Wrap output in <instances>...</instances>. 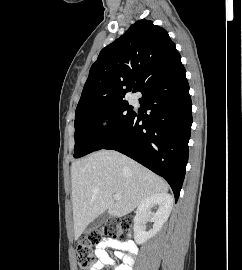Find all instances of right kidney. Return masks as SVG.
<instances>
[{"label": "right kidney", "instance_id": "obj_1", "mask_svg": "<svg viewBox=\"0 0 242 270\" xmlns=\"http://www.w3.org/2000/svg\"><path fill=\"white\" fill-rule=\"evenodd\" d=\"M157 205L156 213H151V207ZM173 207V198L168 193H156L145 198L136 210L134 218V237L137 244H143L160 231L167 221ZM153 222V228L146 232L140 223Z\"/></svg>", "mask_w": 242, "mask_h": 270}]
</instances>
